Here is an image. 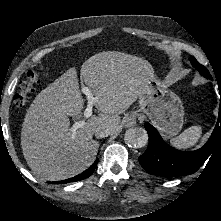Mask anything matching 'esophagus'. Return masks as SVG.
Here are the masks:
<instances>
[{
	"label": "esophagus",
	"instance_id": "obj_1",
	"mask_svg": "<svg viewBox=\"0 0 221 221\" xmlns=\"http://www.w3.org/2000/svg\"><path fill=\"white\" fill-rule=\"evenodd\" d=\"M136 118H137L136 113L129 114L124 119V126L127 128L134 126L136 124Z\"/></svg>",
	"mask_w": 221,
	"mask_h": 221
}]
</instances>
